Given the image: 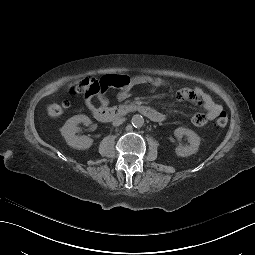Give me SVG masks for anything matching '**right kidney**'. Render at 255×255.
Instances as JSON below:
<instances>
[{"label": "right kidney", "mask_w": 255, "mask_h": 255, "mask_svg": "<svg viewBox=\"0 0 255 255\" xmlns=\"http://www.w3.org/2000/svg\"><path fill=\"white\" fill-rule=\"evenodd\" d=\"M81 122L86 126L91 124V120L86 115H75L68 119L64 126L60 129L67 144L75 149H87L93 143V140L88 136L79 137L75 135L78 131L77 124Z\"/></svg>", "instance_id": "right-kidney-1"}]
</instances>
